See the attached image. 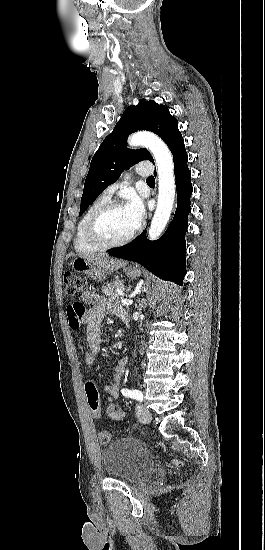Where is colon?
I'll list each match as a JSON object with an SVG mask.
<instances>
[{
  "label": "colon",
  "instance_id": "1",
  "mask_svg": "<svg viewBox=\"0 0 265 550\" xmlns=\"http://www.w3.org/2000/svg\"><path fill=\"white\" fill-rule=\"evenodd\" d=\"M64 284H65V291L68 296H76L79 293H81L84 290L85 287V280L84 278L75 273L68 271L64 274ZM81 306V310L79 314L83 311V305L80 302H76ZM70 327H75L78 325V321L73 319L69 320ZM84 392L86 397L87 406L95 417L101 416V400H100V394L99 389L97 387V384L89 380L85 383L84 386ZM111 440V433L108 430H101L99 433V441L102 445H107ZM176 463H180V461L175 460Z\"/></svg>",
  "mask_w": 265,
  "mask_h": 550
}]
</instances>
